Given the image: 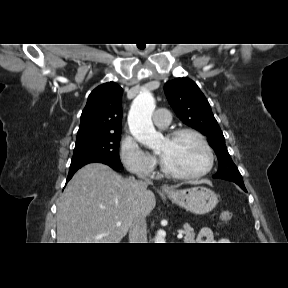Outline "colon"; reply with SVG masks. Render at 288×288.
<instances>
[{
	"label": "colon",
	"mask_w": 288,
	"mask_h": 288,
	"mask_svg": "<svg viewBox=\"0 0 288 288\" xmlns=\"http://www.w3.org/2000/svg\"><path fill=\"white\" fill-rule=\"evenodd\" d=\"M232 218H233V214L229 210H222L219 213V220L222 224L231 222Z\"/></svg>",
	"instance_id": "1"
}]
</instances>
